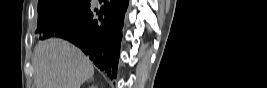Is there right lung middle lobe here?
Returning a JSON list of instances; mask_svg holds the SVG:
<instances>
[{"instance_id": "obj_1", "label": "right lung middle lobe", "mask_w": 267, "mask_h": 88, "mask_svg": "<svg viewBox=\"0 0 267 88\" xmlns=\"http://www.w3.org/2000/svg\"><path fill=\"white\" fill-rule=\"evenodd\" d=\"M89 5L90 0H39L36 32L40 39L51 37L54 28L71 20Z\"/></svg>"}]
</instances>
